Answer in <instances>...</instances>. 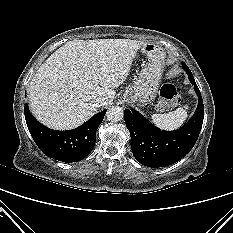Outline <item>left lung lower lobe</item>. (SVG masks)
Here are the masks:
<instances>
[{"label": "left lung lower lobe", "instance_id": "left-lung-lower-lobe-1", "mask_svg": "<svg viewBox=\"0 0 233 233\" xmlns=\"http://www.w3.org/2000/svg\"><path fill=\"white\" fill-rule=\"evenodd\" d=\"M188 78L199 101L194 115L181 128L164 131L136 110H125V123L131 135V150L141 164L152 168L171 165L182 159L195 145L203 124L204 106L192 74Z\"/></svg>", "mask_w": 233, "mask_h": 233}]
</instances>
